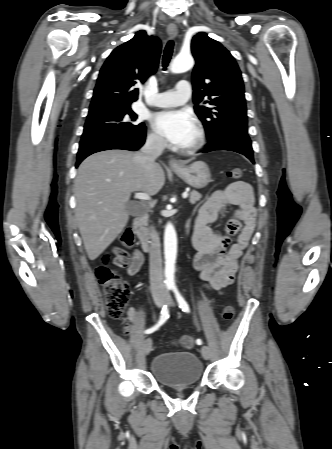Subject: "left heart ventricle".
<instances>
[{
    "mask_svg": "<svg viewBox=\"0 0 332 449\" xmlns=\"http://www.w3.org/2000/svg\"><path fill=\"white\" fill-rule=\"evenodd\" d=\"M194 137H195V134L193 135V137L191 138V140L189 141V143L187 145H189L193 141Z\"/></svg>",
    "mask_w": 332,
    "mask_h": 449,
    "instance_id": "1",
    "label": "left heart ventricle"
}]
</instances>
